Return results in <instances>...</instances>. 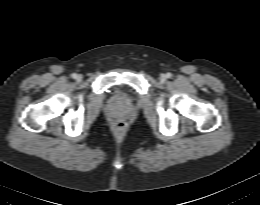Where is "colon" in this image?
Returning <instances> with one entry per match:
<instances>
[{
  "instance_id": "obj_1",
  "label": "colon",
  "mask_w": 260,
  "mask_h": 205,
  "mask_svg": "<svg viewBox=\"0 0 260 205\" xmlns=\"http://www.w3.org/2000/svg\"><path fill=\"white\" fill-rule=\"evenodd\" d=\"M116 128H117L118 130H122V129L124 128V123H123V122H118V123L116 124Z\"/></svg>"
}]
</instances>
